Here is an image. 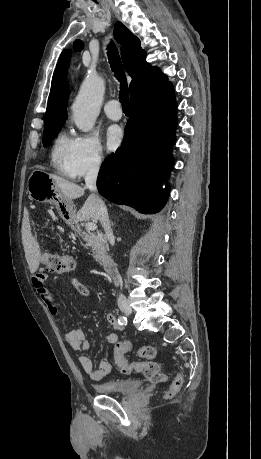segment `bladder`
<instances>
[{
	"label": "bladder",
	"mask_w": 261,
	"mask_h": 459,
	"mask_svg": "<svg viewBox=\"0 0 261 459\" xmlns=\"http://www.w3.org/2000/svg\"><path fill=\"white\" fill-rule=\"evenodd\" d=\"M141 387V381L138 379H113L94 385V389L102 394H129L136 392Z\"/></svg>",
	"instance_id": "1"
}]
</instances>
